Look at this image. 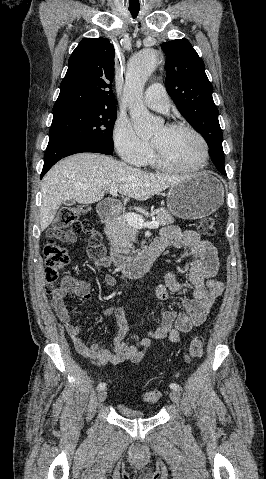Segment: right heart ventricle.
Here are the masks:
<instances>
[{
    "instance_id": "right-heart-ventricle-1",
    "label": "right heart ventricle",
    "mask_w": 266,
    "mask_h": 479,
    "mask_svg": "<svg viewBox=\"0 0 266 479\" xmlns=\"http://www.w3.org/2000/svg\"><path fill=\"white\" fill-rule=\"evenodd\" d=\"M147 163L150 165H154V161L152 159H150Z\"/></svg>"
}]
</instances>
